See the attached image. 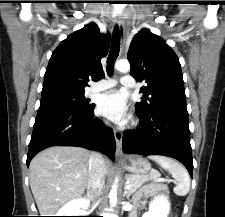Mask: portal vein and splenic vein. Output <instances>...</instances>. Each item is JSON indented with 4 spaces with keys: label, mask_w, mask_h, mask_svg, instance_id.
Returning a JSON list of instances; mask_svg holds the SVG:
<instances>
[{
    "label": "portal vein and splenic vein",
    "mask_w": 225,
    "mask_h": 217,
    "mask_svg": "<svg viewBox=\"0 0 225 217\" xmlns=\"http://www.w3.org/2000/svg\"><path fill=\"white\" fill-rule=\"evenodd\" d=\"M152 180L155 181V182H173V180H171V179L160 178V175L157 174V173H153V179ZM130 188H131V185H129V184H127L125 186L126 190H128Z\"/></svg>",
    "instance_id": "18ae733b"
}]
</instances>
